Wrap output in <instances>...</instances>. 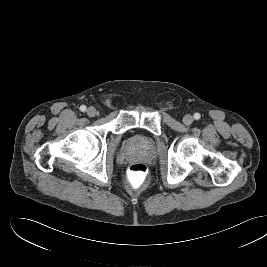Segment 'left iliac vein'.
I'll return each instance as SVG.
<instances>
[{
    "label": "left iliac vein",
    "mask_w": 267,
    "mask_h": 267,
    "mask_svg": "<svg viewBox=\"0 0 267 267\" xmlns=\"http://www.w3.org/2000/svg\"><path fill=\"white\" fill-rule=\"evenodd\" d=\"M193 117H192V115H190V114H187V115H185L184 117H183V122H184V124H186V125H190V124H192L193 123Z\"/></svg>",
    "instance_id": "obj_1"
}]
</instances>
